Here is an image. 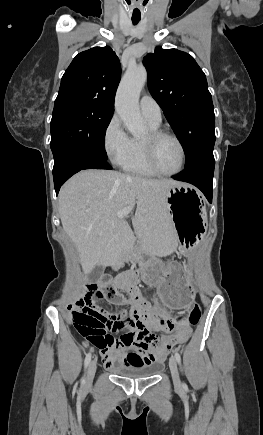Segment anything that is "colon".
Here are the masks:
<instances>
[{
  "label": "colon",
  "instance_id": "5ec220e1",
  "mask_svg": "<svg viewBox=\"0 0 263 435\" xmlns=\"http://www.w3.org/2000/svg\"><path fill=\"white\" fill-rule=\"evenodd\" d=\"M100 287L105 290L104 297L108 301L119 298V295L113 288L112 280L108 276L101 279ZM91 295L94 298H101L99 286L90 288ZM201 307L194 304L186 312L180 313L175 317V321H191L194 326L200 319ZM73 318L77 331L89 342L94 344L95 350H165L166 340L158 338L149 328H125L124 333L118 334L114 339L106 332L105 318L100 312L83 311L76 309L73 312ZM191 330H184L181 335L177 336V341L182 344L185 342Z\"/></svg>",
  "mask_w": 263,
  "mask_h": 435
}]
</instances>
